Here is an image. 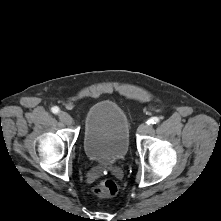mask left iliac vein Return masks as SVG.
<instances>
[{"label":"left iliac vein","mask_w":221,"mask_h":221,"mask_svg":"<svg viewBox=\"0 0 221 221\" xmlns=\"http://www.w3.org/2000/svg\"><path fill=\"white\" fill-rule=\"evenodd\" d=\"M151 127L152 126L150 124L143 123L138 127L137 131L139 134H144V133H147L151 129Z\"/></svg>","instance_id":"4c4485c4"}]
</instances>
